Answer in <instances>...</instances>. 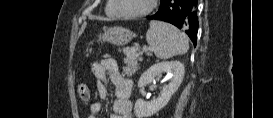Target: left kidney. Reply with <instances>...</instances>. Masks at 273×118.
Instances as JSON below:
<instances>
[{"mask_svg":"<svg viewBox=\"0 0 273 118\" xmlns=\"http://www.w3.org/2000/svg\"><path fill=\"white\" fill-rule=\"evenodd\" d=\"M162 73H167V77L170 78L169 84L163 87L158 98L150 102H146L142 99H138L135 102L134 113L137 118H148L168 104L171 96L178 90L182 83L185 68L179 61L154 64L141 75L138 81V87L142 88L146 84L152 83L154 78Z\"/></svg>","mask_w":273,"mask_h":118,"instance_id":"left-kidney-1","label":"left kidney"}]
</instances>
